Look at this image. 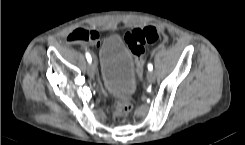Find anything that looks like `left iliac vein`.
I'll return each mask as SVG.
<instances>
[{"label": "left iliac vein", "mask_w": 245, "mask_h": 145, "mask_svg": "<svg viewBox=\"0 0 245 145\" xmlns=\"http://www.w3.org/2000/svg\"><path fill=\"white\" fill-rule=\"evenodd\" d=\"M147 79L150 82H153L155 80V73L153 71H149L148 74H147Z\"/></svg>", "instance_id": "left-iliac-vein-1"}]
</instances>
